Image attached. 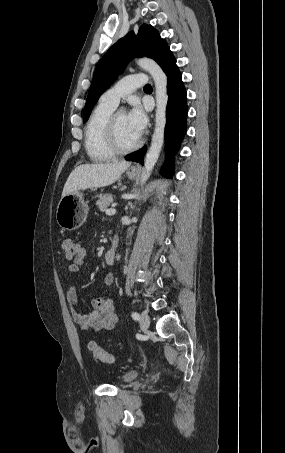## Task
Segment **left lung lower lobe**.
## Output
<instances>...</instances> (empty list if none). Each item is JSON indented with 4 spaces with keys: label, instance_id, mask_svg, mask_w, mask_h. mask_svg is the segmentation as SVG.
<instances>
[{
    "label": "left lung lower lobe",
    "instance_id": "left-lung-lower-lobe-1",
    "mask_svg": "<svg viewBox=\"0 0 285 453\" xmlns=\"http://www.w3.org/2000/svg\"><path fill=\"white\" fill-rule=\"evenodd\" d=\"M166 73L167 89H168V105L166 109V127L165 141L167 150V164L164 167L162 174L170 178L172 173V158L179 149L181 140L186 132V117H187V99L186 90L182 82L181 73L176 65V60L170 51L165 53L158 63ZM147 147L125 156L126 160L141 162L143 164V156Z\"/></svg>",
    "mask_w": 285,
    "mask_h": 453
}]
</instances>
